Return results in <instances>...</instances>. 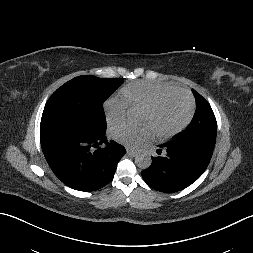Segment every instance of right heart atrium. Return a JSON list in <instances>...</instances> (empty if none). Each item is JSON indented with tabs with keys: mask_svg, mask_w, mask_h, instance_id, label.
<instances>
[{
	"mask_svg": "<svg viewBox=\"0 0 253 253\" xmlns=\"http://www.w3.org/2000/svg\"><path fill=\"white\" fill-rule=\"evenodd\" d=\"M129 106V103L121 94L108 98L104 103V111L108 125H121L125 120Z\"/></svg>",
	"mask_w": 253,
	"mask_h": 253,
	"instance_id": "obj_1",
	"label": "right heart atrium"
}]
</instances>
